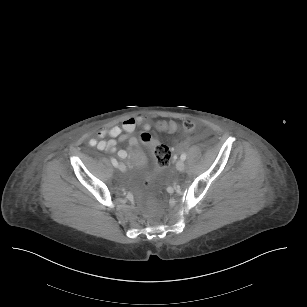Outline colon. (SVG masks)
<instances>
[{
  "label": "colon",
  "mask_w": 307,
  "mask_h": 307,
  "mask_svg": "<svg viewBox=\"0 0 307 307\" xmlns=\"http://www.w3.org/2000/svg\"><path fill=\"white\" fill-rule=\"evenodd\" d=\"M182 129L185 133L192 132L195 129L194 121L191 119L184 120L182 122ZM156 130L159 133H173L176 130V123L173 120L160 119L156 123ZM140 138L143 142L152 146L158 167L156 172L151 171L149 177H144L142 179L143 186L148 188L150 183L160 177L164 170L169 166L172 159V150L164 143L159 142L157 138L151 136L149 130H144L141 133Z\"/></svg>",
  "instance_id": "5ec220e1"
}]
</instances>
